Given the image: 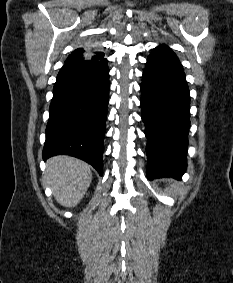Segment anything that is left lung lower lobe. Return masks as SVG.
Segmentation results:
<instances>
[{"instance_id":"1","label":"left lung lower lobe","mask_w":233,"mask_h":283,"mask_svg":"<svg viewBox=\"0 0 233 283\" xmlns=\"http://www.w3.org/2000/svg\"><path fill=\"white\" fill-rule=\"evenodd\" d=\"M141 108L147 144L149 179L186 171L190 96L181 63L161 45L152 50L142 76Z\"/></svg>"}]
</instances>
